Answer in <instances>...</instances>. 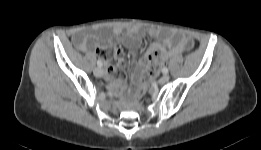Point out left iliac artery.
<instances>
[{"mask_svg":"<svg viewBox=\"0 0 261 150\" xmlns=\"http://www.w3.org/2000/svg\"><path fill=\"white\" fill-rule=\"evenodd\" d=\"M162 72H163V74H167L168 73V69L167 68H163Z\"/></svg>","mask_w":261,"mask_h":150,"instance_id":"left-iliac-artery-1","label":"left iliac artery"}]
</instances>
